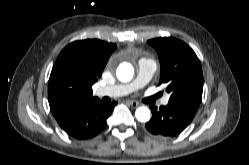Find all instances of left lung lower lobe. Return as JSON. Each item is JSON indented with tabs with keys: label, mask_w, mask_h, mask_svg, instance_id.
Masks as SVG:
<instances>
[{
	"label": "left lung lower lobe",
	"mask_w": 249,
	"mask_h": 165,
	"mask_svg": "<svg viewBox=\"0 0 249 165\" xmlns=\"http://www.w3.org/2000/svg\"><path fill=\"white\" fill-rule=\"evenodd\" d=\"M152 118L145 124L146 129L159 137H175L192 121L196 112L177 104L168 103L157 109L150 106Z\"/></svg>",
	"instance_id": "1"
}]
</instances>
